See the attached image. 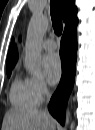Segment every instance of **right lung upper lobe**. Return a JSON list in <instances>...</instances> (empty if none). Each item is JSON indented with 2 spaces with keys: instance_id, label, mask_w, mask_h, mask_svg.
I'll list each match as a JSON object with an SVG mask.
<instances>
[{
  "instance_id": "cb5924a9",
  "label": "right lung upper lobe",
  "mask_w": 95,
  "mask_h": 130,
  "mask_svg": "<svg viewBox=\"0 0 95 130\" xmlns=\"http://www.w3.org/2000/svg\"><path fill=\"white\" fill-rule=\"evenodd\" d=\"M59 5L63 15V20L66 23L64 33L73 31L76 29L78 19H77V9L74 5V0H59ZM18 59V52L16 46L14 45V40H12L8 56H7V70L12 69L16 64Z\"/></svg>"
}]
</instances>
